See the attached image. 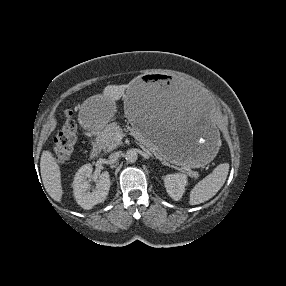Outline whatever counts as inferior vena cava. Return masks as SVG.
Segmentation results:
<instances>
[{"mask_svg": "<svg viewBox=\"0 0 286 286\" xmlns=\"http://www.w3.org/2000/svg\"><path fill=\"white\" fill-rule=\"evenodd\" d=\"M120 157V152H113L109 155V162L115 163Z\"/></svg>", "mask_w": 286, "mask_h": 286, "instance_id": "602c4592", "label": "inferior vena cava"}]
</instances>
